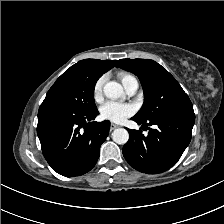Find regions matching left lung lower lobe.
<instances>
[{
    "label": "left lung lower lobe",
    "instance_id": "left-lung-lower-lobe-1",
    "mask_svg": "<svg viewBox=\"0 0 224 224\" xmlns=\"http://www.w3.org/2000/svg\"><path fill=\"white\" fill-rule=\"evenodd\" d=\"M132 120L157 128L150 129L147 136L141 130L127 129L130 137L123 147V155L136 170L156 174L171 168L183 154L191 140L195 114L179 111L147 122L135 117Z\"/></svg>",
    "mask_w": 224,
    "mask_h": 224
}]
</instances>
